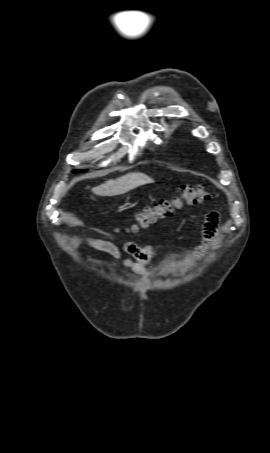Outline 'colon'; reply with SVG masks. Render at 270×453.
Instances as JSON below:
<instances>
[{"label":"colon","mask_w":270,"mask_h":453,"mask_svg":"<svg viewBox=\"0 0 270 453\" xmlns=\"http://www.w3.org/2000/svg\"><path fill=\"white\" fill-rule=\"evenodd\" d=\"M211 198V193L202 185H182L178 194L173 198L159 201L154 206L140 211L129 230L137 231L154 223L157 219L170 216L175 209L180 208L184 203L200 204L209 201Z\"/></svg>","instance_id":"colon-1"}]
</instances>
